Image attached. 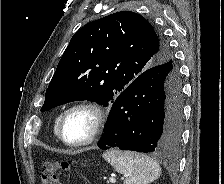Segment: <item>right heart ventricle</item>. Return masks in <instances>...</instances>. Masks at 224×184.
<instances>
[{
	"label": "right heart ventricle",
	"instance_id": "obj_1",
	"mask_svg": "<svg viewBox=\"0 0 224 184\" xmlns=\"http://www.w3.org/2000/svg\"><path fill=\"white\" fill-rule=\"evenodd\" d=\"M59 118H60V114H58L55 117V120H54V133H55V135H57V125H58Z\"/></svg>",
	"mask_w": 224,
	"mask_h": 184
}]
</instances>
